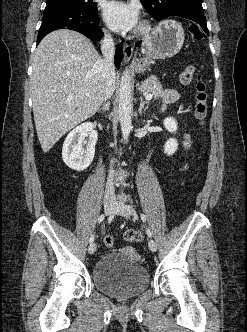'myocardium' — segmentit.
<instances>
[{
  "instance_id": "myocardium-1",
  "label": "myocardium",
  "mask_w": 247,
  "mask_h": 332,
  "mask_svg": "<svg viewBox=\"0 0 247 332\" xmlns=\"http://www.w3.org/2000/svg\"><path fill=\"white\" fill-rule=\"evenodd\" d=\"M150 26L147 22H142L137 30V35H145L149 32Z\"/></svg>"
}]
</instances>
